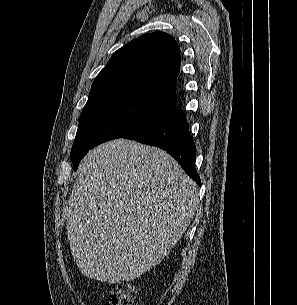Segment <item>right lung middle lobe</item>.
Here are the masks:
<instances>
[{
  "mask_svg": "<svg viewBox=\"0 0 297 305\" xmlns=\"http://www.w3.org/2000/svg\"><path fill=\"white\" fill-rule=\"evenodd\" d=\"M173 104L148 97L125 96L84 107L70 153L74 170L93 147L126 135L166 114Z\"/></svg>",
  "mask_w": 297,
  "mask_h": 305,
  "instance_id": "obj_1",
  "label": "right lung middle lobe"
}]
</instances>
